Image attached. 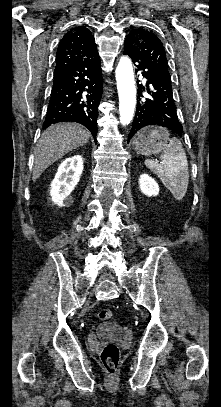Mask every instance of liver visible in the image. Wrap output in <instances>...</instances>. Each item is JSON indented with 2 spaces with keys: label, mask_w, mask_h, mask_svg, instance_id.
Returning <instances> with one entry per match:
<instances>
[{
  "label": "liver",
  "mask_w": 221,
  "mask_h": 407,
  "mask_svg": "<svg viewBox=\"0 0 221 407\" xmlns=\"http://www.w3.org/2000/svg\"><path fill=\"white\" fill-rule=\"evenodd\" d=\"M90 136V132L77 123H59L48 127L42 133L34 152L32 180L36 181L65 154L87 143Z\"/></svg>",
  "instance_id": "1"
}]
</instances>
